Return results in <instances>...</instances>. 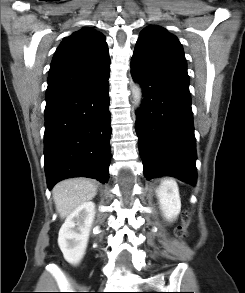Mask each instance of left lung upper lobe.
Masks as SVG:
<instances>
[{"mask_svg": "<svg viewBox=\"0 0 245 293\" xmlns=\"http://www.w3.org/2000/svg\"><path fill=\"white\" fill-rule=\"evenodd\" d=\"M134 53L183 73L188 77L183 48L177 37L159 26H148L140 34Z\"/></svg>", "mask_w": 245, "mask_h": 293, "instance_id": "5c2ea615", "label": "left lung upper lobe"}]
</instances>
